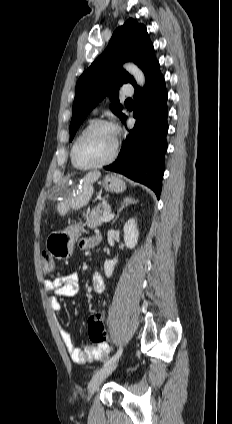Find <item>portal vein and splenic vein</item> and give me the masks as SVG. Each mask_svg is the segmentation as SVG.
Returning a JSON list of instances; mask_svg holds the SVG:
<instances>
[{
    "instance_id": "obj_1",
    "label": "portal vein and splenic vein",
    "mask_w": 232,
    "mask_h": 424,
    "mask_svg": "<svg viewBox=\"0 0 232 424\" xmlns=\"http://www.w3.org/2000/svg\"><path fill=\"white\" fill-rule=\"evenodd\" d=\"M114 215H115L114 213H108L102 218V220L105 221V222H108L111 219H113Z\"/></svg>"
}]
</instances>
